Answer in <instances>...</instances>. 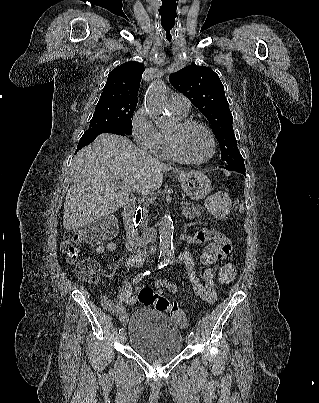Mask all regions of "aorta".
<instances>
[{
    "label": "aorta",
    "mask_w": 319,
    "mask_h": 403,
    "mask_svg": "<svg viewBox=\"0 0 319 403\" xmlns=\"http://www.w3.org/2000/svg\"><path fill=\"white\" fill-rule=\"evenodd\" d=\"M166 101L167 88L163 81L153 82L145 95L144 107L150 118L161 126L166 120ZM173 220L169 214H165L159 224L160 255L164 258H171L174 254L173 250Z\"/></svg>",
    "instance_id": "1"
}]
</instances>
